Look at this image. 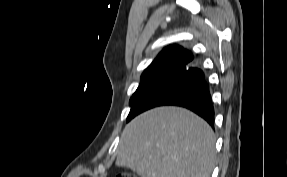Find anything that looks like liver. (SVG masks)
Listing matches in <instances>:
<instances>
[{
	"label": "liver",
	"mask_w": 287,
	"mask_h": 177,
	"mask_svg": "<svg viewBox=\"0 0 287 177\" xmlns=\"http://www.w3.org/2000/svg\"><path fill=\"white\" fill-rule=\"evenodd\" d=\"M214 163L211 127L173 106L146 111L126 125L116 160L141 177H210Z\"/></svg>",
	"instance_id": "1"
}]
</instances>
